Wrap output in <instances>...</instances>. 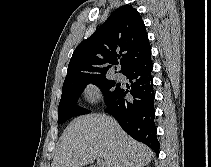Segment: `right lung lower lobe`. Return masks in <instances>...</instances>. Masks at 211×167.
<instances>
[{
  "label": "right lung lower lobe",
  "instance_id": "98d812e1",
  "mask_svg": "<svg viewBox=\"0 0 211 167\" xmlns=\"http://www.w3.org/2000/svg\"><path fill=\"white\" fill-rule=\"evenodd\" d=\"M152 69L151 56L129 67L123 74L132 83L130 90L121 89L107 105L105 112L115 117L132 138L146 144L158 155L160 145L154 122ZM127 93L133 99H128Z\"/></svg>",
  "mask_w": 211,
  "mask_h": 167
}]
</instances>
